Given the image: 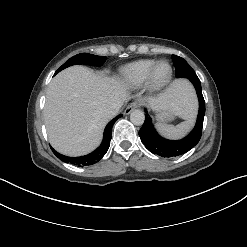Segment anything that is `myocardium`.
Here are the masks:
<instances>
[{
    "label": "myocardium",
    "mask_w": 247,
    "mask_h": 247,
    "mask_svg": "<svg viewBox=\"0 0 247 247\" xmlns=\"http://www.w3.org/2000/svg\"><path fill=\"white\" fill-rule=\"evenodd\" d=\"M162 64H167L169 68V72L167 76L163 79L157 78V70ZM173 69L171 64L167 60H160L157 61L154 66L151 68L147 80H146V87L151 91H156L164 86H166L172 79Z\"/></svg>",
    "instance_id": "1"
}]
</instances>
